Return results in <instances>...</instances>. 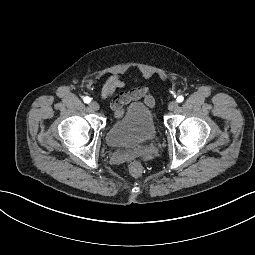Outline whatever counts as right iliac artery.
<instances>
[{"label":"right iliac artery","mask_w":255,"mask_h":255,"mask_svg":"<svg viewBox=\"0 0 255 255\" xmlns=\"http://www.w3.org/2000/svg\"><path fill=\"white\" fill-rule=\"evenodd\" d=\"M90 101H91V98H90V97H85V98H84V102H85V103H89Z\"/></svg>","instance_id":"obj_1"}]
</instances>
